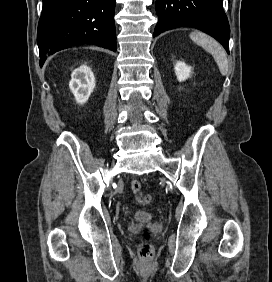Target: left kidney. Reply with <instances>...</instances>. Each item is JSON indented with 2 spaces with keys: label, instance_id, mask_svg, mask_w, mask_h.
Returning <instances> with one entry per match:
<instances>
[{
  "label": "left kidney",
  "instance_id": "left-kidney-1",
  "mask_svg": "<svg viewBox=\"0 0 272 282\" xmlns=\"http://www.w3.org/2000/svg\"><path fill=\"white\" fill-rule=\"evenodd\" d=\"M175 74L179 82L185 81L192 74V69L190 66L186 65L182 61H177L174 66Z\"/></svg>",
  "mask_w": 272,
  "mask_h": 282
}]
</instances>
